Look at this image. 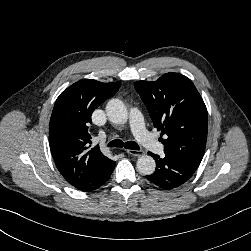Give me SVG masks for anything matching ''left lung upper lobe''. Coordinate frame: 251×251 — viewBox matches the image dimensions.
<instances>
[{"label":"left lung upper lobe","mask_w":251,"mask_h":251,"mask_svg":"<svg viewBox=\"0 0 251 251\" xmlns=\"http://www.w3.org/2000/svg\"><path fill=\"white\" fill-rule=\"evenodd\" d=\"M134 86L154 127L166 136L162 141L165 155L198 167L206 146L208 115L192 81L178 73H167L157 81H137Z\"/></svg>","instance_id":"obj_1"}]
</instances>
